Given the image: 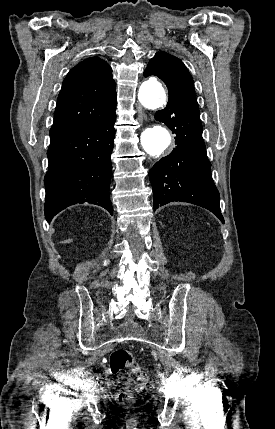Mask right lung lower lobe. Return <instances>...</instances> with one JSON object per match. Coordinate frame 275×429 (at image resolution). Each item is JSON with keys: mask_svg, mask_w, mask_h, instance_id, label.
<instances>
[{"mask_svg": "<svg viewBox=\"0 0 275 429\" xmlns=\"http://www.w3.org/2000/svg\"><path fill=\"white\" fill-rule=\"evenodd\" d=\"M116 114L73 130L53 135L47 151L45 218H52L76 203H93L110 214L109 196Z\"/></svg>", "mask_w": 275, "mask_h": 429, "instance_id": "98d812e1", "label": "right lung lower lobe"}]
</instances>
